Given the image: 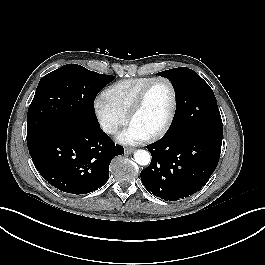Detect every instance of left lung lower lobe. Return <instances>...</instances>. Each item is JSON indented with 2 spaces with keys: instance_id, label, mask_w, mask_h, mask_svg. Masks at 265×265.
Here are the masks:
<instances>
[{
  "instance_id": "0a47b994",
  "label": "left lung lower lobe",
  "mask_w": 265,
  "mask_h": 265,
  "mask_svg": "<svg viewBox=\"0 0 265 265\" xmlns=\"http://www.w3.org/2000/svg\"><path fill=\"white\" fill-rule=\"evenodd\" d=\"M222 136L203 130H186L165 136L147 146L150 165L140 176L145 188L167 201L197 192L214 172Z\"/></svg>"
}]
</instances>
